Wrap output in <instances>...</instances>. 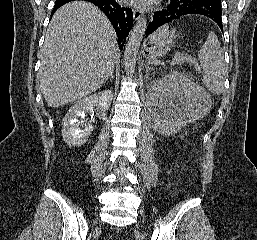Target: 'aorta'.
<instances>
[{
    "label": "aorta",
    "instance_id": "obj_1",
    "mask_svg": "<svg viewBox=\"0 0 257 240\" xmlns=\"http://www.w3.org/2000/svg\"><path fill=\"white\" fill-rule=\"evenodd\" d=\"M146 26L147 19L145 17H140L130 32V36L124 51V68L128 76L135 72L137 55Z\"/></svg>",
    "mask_w": 257,
    "mask_h": 240
}]
</instances>
